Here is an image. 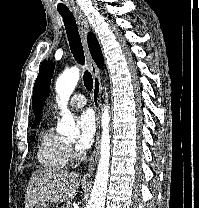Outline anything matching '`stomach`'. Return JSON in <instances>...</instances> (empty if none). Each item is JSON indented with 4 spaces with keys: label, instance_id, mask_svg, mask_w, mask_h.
Listing matches in <instances>:
<instances>
[{
    "label": "stomach",
    "instance_id": "1",
    "mask_svg": "<svg viewBox=\"0 0 199 208\" xmlns=\"http://www.w3.org/2000/svg\"><path fill=\"white\" fill-rule=\"evenodd\" d=\"M35 208H49V204L46 202H39Z\"/></svg>",
    "mask_w": 199,
    "mask_h": 208
}]
</instances>
